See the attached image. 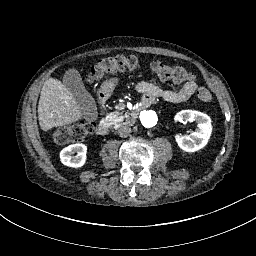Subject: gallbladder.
<instances>
[{"instance_id": "bac80fb5", "label": "gallbladder", "mask_w": 256, "mask_h": 256, "mask_svg": "<svg viewBox=\"0 0 256 256\" xmlns=\"http://www.w3.org/2000/svg\"><path fill=\"white\" fill-rule=\"evenodd\" d=\"M63 84L73 94L84 118L86 120L96 118V102L92 95L86 90L80 73L74 68L67 70L63 77Z\"/></svg>"}]
</instances>
